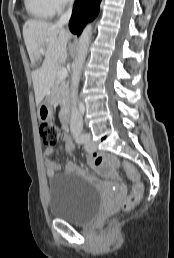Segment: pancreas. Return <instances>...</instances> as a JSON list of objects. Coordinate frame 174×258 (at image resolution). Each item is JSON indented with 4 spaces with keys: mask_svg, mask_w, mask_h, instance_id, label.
<instances>
[{
    "mask_svg": "<svg viewBox=\"0 0 174 258\" xmlns=\"http://www.w3.org/2000/svg\"><path fill=\"white\" fill-rule=\"evenodd\" d=\"M52 98L51 102L53 104H60L61 106H65L69 100V90L68 84L64 79H61L56 75L55 83L52 87Z\"/></svg>",
    "mask_w": 174,
    "mask_h": 258,
    "instance_id": "cf45deb5",
    "label": "pancreas"
}]
</instances>
